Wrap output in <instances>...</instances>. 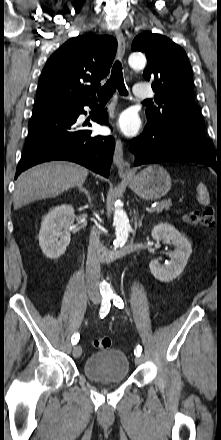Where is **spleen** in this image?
Wrapping results in <instances>:
<instances>
[{"instance_id":"1","label":"spleen","mask_w":221,"mask_h":440,"mask_svg":"<svg viewBox=\"0 0 221 440\" xmlns=\"http://www.w3.org/2000/svg\"><path fill=\"white\" fill-rule=\"evenodd\" d=\"M197 192H198V202L203 206L209 205L210 203L209 193L207 191L206 186L203 183L198 184Z\"/></svg>"}]
</instances>
